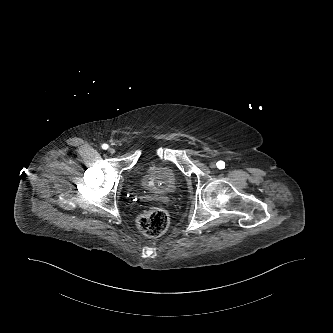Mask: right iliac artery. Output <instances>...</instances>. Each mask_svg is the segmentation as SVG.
Returning <instances> with one entry per match:
<instances>
[{"label":"right iliac artery","instance_id":"obj_1","mask_svg":"<svg viewBox=\"0 0 333 333\" xmlns=\"http://www.w3.org/2000/svg\"><path fill=\"white\" fill-rule=\"evenodd\" d=\"M108 147H109V146H108L107 144H105V143L102 145V148H103L104 150H107Z\"/></svg>","mask_w":333,"mask_h":333}]
</instances>
